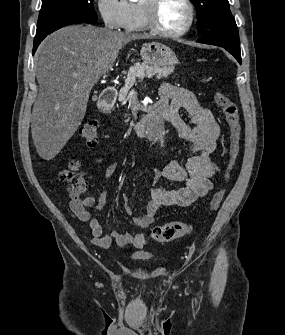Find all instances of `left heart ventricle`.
Masks as SVG:
<instances>
[{
    "instance_id": "b2bd125f",
    "label": "left heart ventricle",
    "mask_w": 285,
    "mask_h": 335,
    "mask_svg": "<svg viewBox=\"0 0 285 335\" xmlns=\"http://www.w3.org/2000/svg\"><path fill=\"white\" fill-rule=\"evenodd\" d=\"M188 16V9L179 1H165L160 9V21L170 31L182 28Z\"/></svg>"
}]
</instances>
